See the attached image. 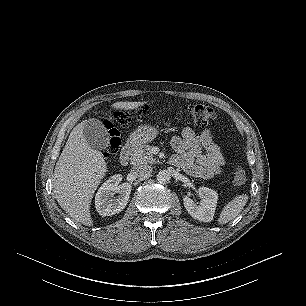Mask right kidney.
<instances>
[{
  "label": "right kidney",
  "mask_w": 306,
  "mask_h": 306,
  "mask_svg": "<svg viewBox=\"0 0 306 306\" xmlns=\"http://www.w3.org/2000/svg\"><path fill=\"white\" fill-rule=\"evenodd\" d=\"M121 180L120 174L114 175L99 188L95 197L96 210L99 215L105 217L117 214L127 205L132 187L129 183L119 185ZM117 192L119 195L112 199V196Z\"/></svg>",
  "instance_id": "obj_1"
}]
</instances>
